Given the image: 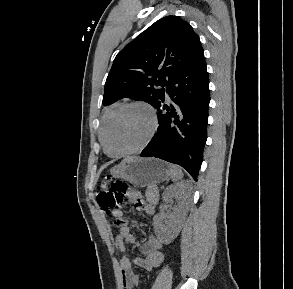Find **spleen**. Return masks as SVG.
<instances>
[{
    "label": "spleen",
    "mask_w": 293,
    "mask_h": 289,
    "mask_svg": "<svg viewBox=\"0 0 293 289\" xmlns=\"http://www.w3.org/2000/svg\"><path fill=\"white\" fill-rule=\"evenodd\" d=\"M169 168L172 181L176 182L183 177V172L180 167L170 164Z\"/></svg>",
    "instance_id": "obj_1"
}]
</instances>
